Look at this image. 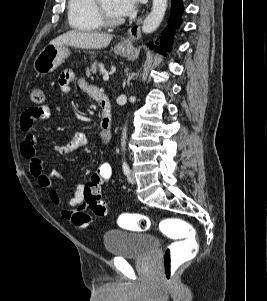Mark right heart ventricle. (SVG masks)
I'll use <instances>...</instances> for the list:
<instances>
[{
	"label": "right heart ventricle",
	"mask_w": 267,
	"mask_h": 301,
	"mask_svg": "<svg viewBox=\"0 0 267 301\" xmlns=\"http://www.w3.org/2000/svg\"><path fill=\"white\" fill-rule=\"evenodd\" d=\"M68 20L78 31L92 32L103 27L96 13L95 0H68Z\"/></svg>",
	"instance_id": "obj_1"
}]
</instances>
